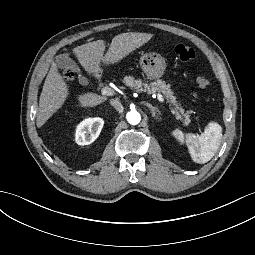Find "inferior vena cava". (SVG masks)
I'll list each match as a JSON object with an SVG mask.
<instances>
[{
    "mask_svg": "<svg viewBox=\"0 0 255 255\" xmlns=\"http://www.w3.org/2000/svg\"><path fill=\"white\" fill-rule=\"evenodd\" d=\"M110 104H111V106H113L118 112H123V106H122V104L118 101V100H116V99H111L110 100Z\"/></svg>",
    "mask_w": 255,
    "mask_h": 255,
    "instance_id": "1",
    "label": "inferior vena cava"
}]
</instances>
